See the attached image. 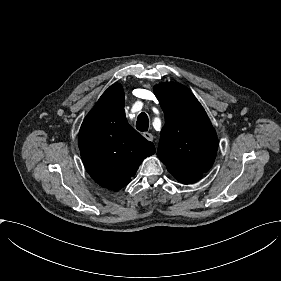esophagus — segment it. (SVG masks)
Returning a JSON list of instances; mask_svg holds the SVG:
<instances>
[{"instance_id":"1","label":"esophagus","mask_w":281,"mask_h":281,"mask_svg":"<svg viewBox=\"0 0 281 281\" xmlns=\"http://www.w3.org/2000/svg\"><path fill=\"white\" fill-rule=\"evenodd\" d=\"M142 135L149 141H152L154 139V136L151 133L144 132Z\"/></svg>"}]
</instances>
